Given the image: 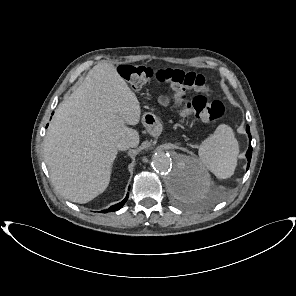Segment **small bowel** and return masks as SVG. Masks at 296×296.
<instances>
[{
    "label": "small bowel",
    "mask_w": 296,
    "mask_h": 296,
    "mask_svg": "<svg viewBox=\"0 0 296 296\" xmlns=\"http://www.w3.org/2000/svg\"><path fill=\"white\" fill-rule=\"evenodd\" d=\"M161 103H162L163 105H166V104L168 103V99H167V98H162V99H161Z\"/></svg>",
    "instance_id": "obj_1"
}]
</instances>
